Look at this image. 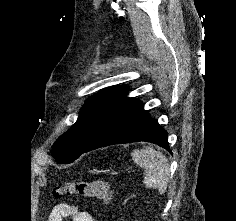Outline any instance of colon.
<instances>
[{
	"mask_svg": "<svg viewBox=\"0 0 236 221\" xmlns=\"http://www.w3.org/2000/svg\"><path fill=\"white\" fill-rule=\"evenodd\" d=\"M75 194L86 198H96L104 202H110L113 199L114 190L104 181H69L56 187L51 192V196L54 198Z\"/></svg>",
	"mask_w": 236,
	"mask_h": 221,
	"instance_id": "5ec220e1",
	"label": "colon"
}]
</instances>
